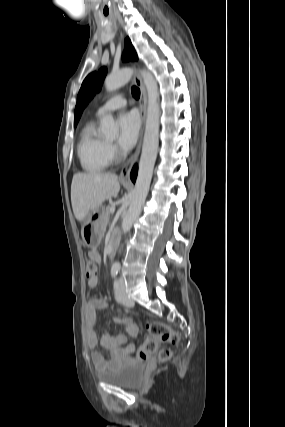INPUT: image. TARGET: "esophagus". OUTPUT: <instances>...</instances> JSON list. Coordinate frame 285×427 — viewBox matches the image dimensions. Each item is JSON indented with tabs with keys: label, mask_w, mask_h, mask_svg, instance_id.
Wrapping results in <instances>:
<instances>
[{
	"label": "esophagus",
	"mask_w": 285,
	"mask_h": 427,
	"mask_svg": "<svg viewBox=\"0 0 285 427\" xmlns=\"http://www.w3.org/2000/svg\"><path fill=\"white\" fill-rule=\"evenodd\" d=\"M133 80L135 85L140 89V92H141V100H140L141 127L139 131L138 143H137L135 152L129 157V159L125 162L124 166L122 167V170L120 173V179L122 180H129L130 172L134 164L138 160V157L141 151V146H142L143 133H144V127H145V121H146V112H147V93H146V89L142 81V78L138 72L134 73Z\"/></svg>",
	"instance_id": "1"
}]
</instances>
